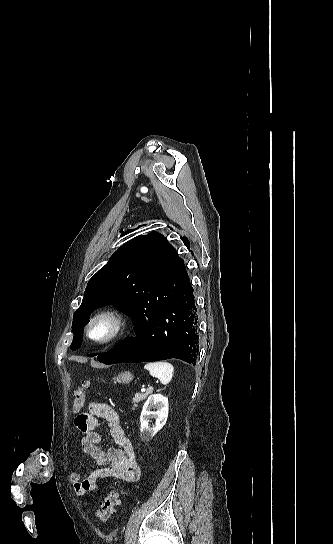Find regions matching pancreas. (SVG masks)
Returning a JSON list of instances; mask_svg holds the SVG:
<instances>
[{
	"mask_svg": "<svg viewBox=\"0 0 333 544\" xmlns=\"http://www.w3.org/2000/svg\"><path fill=\"white\" fill-rule=\"evenodd\" d=\"M150 394H151V391H147V392H145L143 394H136L135 397L133 398L134 407L137 406L136 405L137 403L145 400L147 398V396L150 395Z\"/></svg>",
	"mask_w": 333,
	"mask_h": 544,
	"instance_id": "pancreas-1",
	"label": "pancreas"
}]
</instances>
